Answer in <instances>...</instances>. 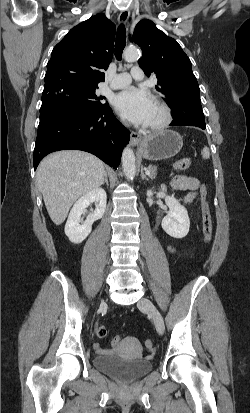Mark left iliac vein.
<instances>
[{
    "label": "left iliac vein",
    "mask_w": 250,
    "mask_h": 413,
    "mask_svg": "<svg viewBox=\"0 0 250 413\" xmlns=\"http://www.w3.org/2000/svg\"><path fill=\"white\" fill-rule=\"evenodd\" d=\"M137 305L140 309L150 314L155 324L156 330L159 334H163L165 330L164 320L161 313L155 307V305L147 298H141Z\"/></svg>",
    "instance_id": "left-iliac-vein-1"
}]
</instances>
